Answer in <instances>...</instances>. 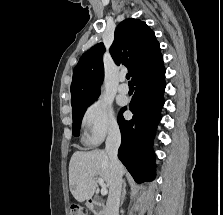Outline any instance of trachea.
Instances as JSON below:
<instances>
[{"mask_svg":"<svg viewBox=\"0 0 223 215\" xmlns=\"http://www.w3.org/2000/svg\"><path fill=\"white\" fill-rule=\"evenodd\" d=\"M126 78H127V80L130 79V75H129V73H127ZM129 83H131V82H129Z\"/></svg>","mask_w":223,"mask_h":215,"instance_id":"obj_1","label":"trachea"}]
</instances>
